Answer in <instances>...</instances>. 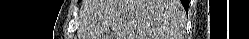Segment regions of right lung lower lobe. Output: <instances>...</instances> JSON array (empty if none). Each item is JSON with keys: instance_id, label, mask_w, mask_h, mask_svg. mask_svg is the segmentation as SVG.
<instances>
[{"instance_id": "right-lung-lower-lobe-1", "label": "right lung lower lobe", "mask_w": 249, "mask_h": 39, "mask_svg": "<svg viewBox=\"0 0 249 39\" xmlns=\"http://www.w3.org/2000/svg\"><path fill=\"white\" fill-rule=\"evenodd\" d=\"M183 6L185 8L186 11H188V7H189V1L188 0H183Z\"/></svg>"}]
</instances>
